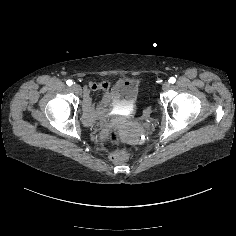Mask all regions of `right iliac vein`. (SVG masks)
<instances>
[{"label": "right iliac vein", "mask_w": 236, "mask_h": 236, "mask_svg": "<svg viewBox=\"0 0 236 236\" xmlns=\"http://www.w3.org/2000/svg\"><path fill=\"white\" fill-rule=\"evenodd\" d=\"M72 90H73L75 93H77V94H81V93H82L81 87H80L79 85H77V84H74V85L72 86Z\"/></svg>", "instance_id": "63e3f726"}]
</instances>
